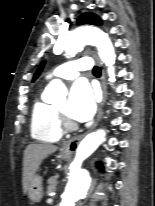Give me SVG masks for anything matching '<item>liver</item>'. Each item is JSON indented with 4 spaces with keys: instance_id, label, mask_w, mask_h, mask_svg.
I'll return each instance as SVG.
<instances>
[{
    "instance_id": "obj_1",
    "label": "liver",
    "mask_w": 155,
    "mask_h": 206,
    "mask_svg": "<svg viewBox=\"0 0 155 206\" xmlns=\"http://www.w3.org/2000/svg\"><path fill=\"white\" fill-rule=\"evenodd\" d=\"M58 149L52 144H30L24 151L23 160V191L27 193L31 180L42 161Z\"/></svg>"
}]
</instances>
